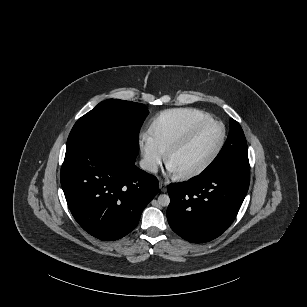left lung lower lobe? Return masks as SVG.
Segmentation results:
<instances>
[{"instance_id":"left-lung-lower-lobe-1","label":"left lung lower lobe","mask_w":307,"mask_h":307,"mask_svg":"<svg viewBox=\"0 0 307 307\" xmlns=\"http://www.w3.org/2000/svg\"><path fill=\"white\" fill-rule=\"evenodd\" d=\"M250 183L249 169L223 167L168 188L167 219L183 239L203 243L234 221Z\"/></svg>"}]
</instances>
